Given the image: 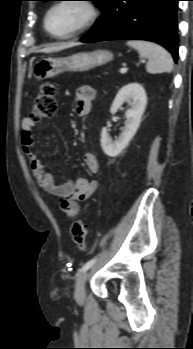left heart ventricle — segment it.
<instances>
[{
  "label": "left heart ventricle",
  "mask_w": 193,
  "mask_h": 349,
  "mask_svg": "<svg viewBox=\"0 0 193 349\" xmlns=\"http://www.w3.org/2000/svg\"><path fill=\"white\" fill-rule=\"evenodd\" d=\"M88 17L87 9L79 3H67L56 7L48 19L50 31L57 35L71 32Z\"/></svg>",
  "instance_id": "obj_1"
}]
</instances>
